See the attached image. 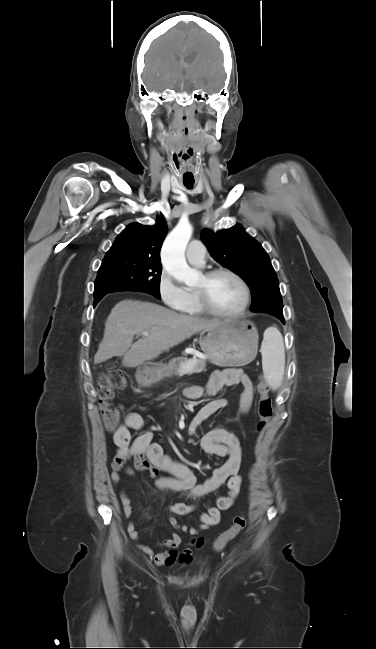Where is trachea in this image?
Wrapping results in <instances>:
<instances>
[{
    "label": "trachea",
    "mask_w": 376,
    "mask_h": 649,
    "mask_svg": "<svg viewBox=\"0 0 376 649\" xmlns=\"http://www.w3.org/2000/svg\"><path fill=\"white\" fill-rule=\"evenodd\" d=\"M185 186H186L187 188H191V187L193 186V183H185Z\"/></svg>",
    "instance_id": "1"
}]
</instances>
